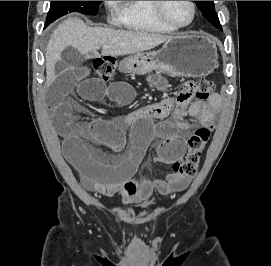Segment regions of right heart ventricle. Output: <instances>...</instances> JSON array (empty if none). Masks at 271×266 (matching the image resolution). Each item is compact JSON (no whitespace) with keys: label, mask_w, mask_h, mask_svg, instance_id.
<instances>
[{"label":"right heart ventricle","mask_w":271,"mask_h":266,"mask_svg":"<svg viewBox=\"0 0 271 266\" xmlns=\"http://www.w3.org/2000/svg\"><path fill=\"white\" fill-rule=\"evenodd\" d=\"M120 23L134 31L172 33L174 29L163 23L154 13L152 1H119Z\"/></svg>","instance_id":"right-heart-ventricle-1"}]
</instances>
